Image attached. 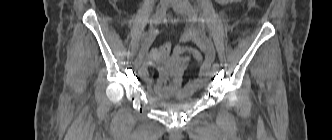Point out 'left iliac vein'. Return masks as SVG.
I'll return each mask as SVG.
<instances>
[{
	"label": "left iliac vein",
	"instance_id": "4c4485c4",
	"mask_svg": "<svg viewBox=\"0 0 332 140\" xmlns=\"http://www.w3.org/2000/svg\"><path fill=\"white\" fill-rule=\"evenodd\" d=\"M170 5L174 11L182 16L187 15L185 8V0H170ZM218 69L213 66L212 72L217 73Z\"/></svg>",
	"mask_w": 332,
	"mask_h": 140
}]
</instances>
